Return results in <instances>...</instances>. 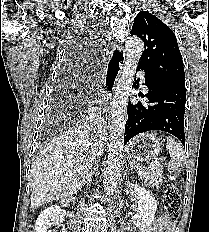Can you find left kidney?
Here are the masks:
<instances>
[{"label": "left kidney", "mask_w": 209, "mask_h": 232, "mask_svg": "<svg viewBox=\"0 0 209 232\" xmlns=\"http://www.w3.org/2000/svg\"><path fill=\"white\" fill-rule=\"evenodd\" d=\"M126 193L134 194L138 201L137 213L132 217L134 225L144 232L154 219L157 203L153 195L137 183L127 181Z\"/></svg>", "instance_id": "5707ae66"}]
</instances>
